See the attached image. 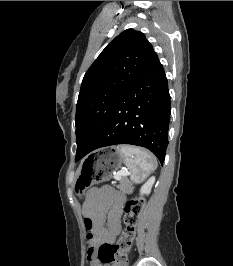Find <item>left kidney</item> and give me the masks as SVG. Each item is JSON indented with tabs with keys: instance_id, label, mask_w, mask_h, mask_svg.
Listing matches in <instances>:
<instances>
[{
	"instance_id": "left-kidney-1",
	"label": "left kidney",
	"mask_w": 233,
	"mask_h": 266,
	"mask_svg": "<svg viewBox=\"0 0 233 266\" xmlns=\"http://www.w3.org/2000/svg\"><path fill=\"white\" fill-rule=\"evenodd\" d=\"M155 182V177H151L140 189L141 195H149L152 189V186Z\"/></svg>"
}]
</instances>
